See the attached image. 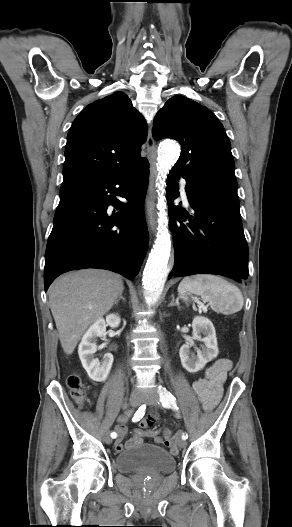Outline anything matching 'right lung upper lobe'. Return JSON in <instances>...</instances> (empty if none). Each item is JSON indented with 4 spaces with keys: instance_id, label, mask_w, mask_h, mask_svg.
I'll return each instance as SVG.
<instances>
[{
    "instance_id": "right-lung-upper-lobe-1",
    "label": "right lung upper lobe",
    "mask_w": 292,
    "mask_h": 527,
    "mask_svg": "<svg viewBox=\"0 0 292 527\" xmlns=\"http://www.w3.org/2000/svg\"><path fill=\"white\" fill-rule=\"evenodd\" d=\"M147 125L128 96L114 92L82 110L67 135L63 181L107 180L147 160L140 148Z\"/></svg>"
}]
</instances>
